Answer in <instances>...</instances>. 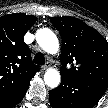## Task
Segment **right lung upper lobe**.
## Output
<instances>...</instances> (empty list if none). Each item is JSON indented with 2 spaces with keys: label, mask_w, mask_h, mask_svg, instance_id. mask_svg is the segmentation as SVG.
Instances as JSON below:
<instances>
[{
  "label": "right lung upper lobe",
  "mask_w": 108,
  "mask_h": 108,
  "mask_svg": "<svg viewBox=\"0 0 108 108\" xmlns=\"http://www.w3.org/2000/svg\"><path fill=\"white\" fill-rule=\"evenodd\" d=\"M35 21V16L23 13L0 17V98L17 94L39 71L24 42Z\"/></svg>",
  "instance_id": "1"
}]
</instances>
